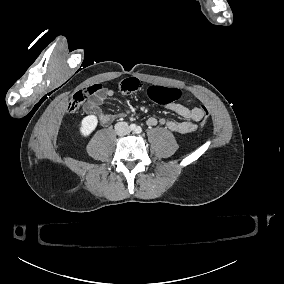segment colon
I'll return each mask as SVG.
<instances>
[{"label": "colon", "instance_id": "obj_1", "mask_svg": "<svg viewBox=\"0 0 284 284\" xmlns=\"http://www.w3.org/2000/svg\"><path fill=\"white\" fill-rule=\"evenodd\" d=\"M141 86H142L141 81L137 79H127L121 83V88L124 93L137 91L141 88ZM100 89H101V85L96 83V84H92L91 86L87 88L76 91L73 94L69 102L70 103L68 107L69 111L71 113H77L82 107L86 97L90 96L93 93L98 92ZM147 97L151 101H156L159 104H164V103L180 100V98L182 97V91L176 87L162 88L160 86H151L147 90ZM202 109L204 110L203 107ZM209 118H210V115L206 114L204 118L205 123L202 124L203 130L207 129L206 123L209 122Z\"/></svg>", "mask_w": 284, "mask_h": 284}]
</instances>
